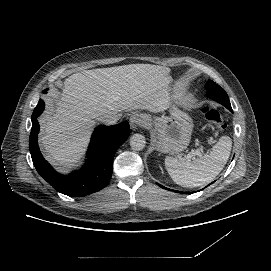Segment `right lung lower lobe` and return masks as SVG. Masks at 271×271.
<instances>
[{
  "label": "right lung lower lobe",
  "instance_id": "obj_1",
  "mask_svg": "<svg viewBox=\"0 0 271 271\" xmlns=\"http://www.w3.org/2000/svg\"><path fill=\"white\" fill-rule=\"evenodd\" d=\"M47 90L44 91L46 93ZM44 101L39 100L32 114L30 152L33 164L55 190L71 197L85 196L103 189L113 170V158L117 149L127 140L130 126L127 121L115 126H98L92 135L87 152V163L79 171L65 176L57 173L43 158L37 142L39 123L37 117L44 110Z\"/></svg>",
  "mask_w": 271,
  "mask_h": 271
}]
</instances>
